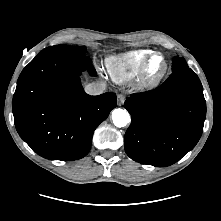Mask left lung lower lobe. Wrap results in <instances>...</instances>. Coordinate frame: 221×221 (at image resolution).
I'll use <instances>...</instances> for the list:
<instances>
[{"mask_svg":"<svg viewBox=\"0 0 221 221\" xmlns=\"http://www.w3.org/2000/svg\"><path fill=\"white\" fill-rule=\"evenodd\" d=\"M124 107L132 117L124 148L139 163L172 165L192 150L202 135L206 102L202 84L189 67L173 71L154 90L132 94Z\"/></svg>","mask_w":221,"mask_h":221,"instance_id":"0a47b994","label":"left lung lower lobe"}]
</instances>
